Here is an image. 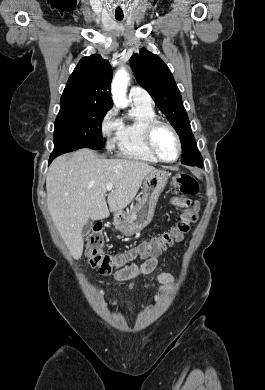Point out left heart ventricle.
<instances>
[{
  "label": "left heart ventricle",
  "instance_id": "b2bd125f",
  "mask_svg": "<svg viewBox=\"0 0 265 390\" xmlns=\"http://www.w3.org/2000/svg\"><path fill=\"white\" fill-rule=\"evenodd\" d=\"M154 144L159 154L166 160H172L177 154V144L173 134L165 127H159L154 133Z\"/></svg>",
  "mask_w": 265,
  "mask_h": 390
}]
</instances>
